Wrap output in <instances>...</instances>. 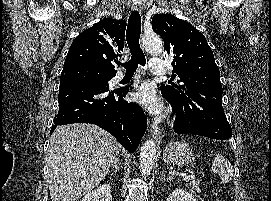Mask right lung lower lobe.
Instances as JSON below:
<instances>
[{"label": "right lung lower lobe", "instance_id": "1", "mask_svg": "<svg viewBox=\"0 0 271 201\" xmlns=\"http://www.w3.org/2000/svg\"><path fill=\"white\" fill-rule=\"evenodd\" d=\"M81 66L64 67L54 125L91 123L111 133L124 148L134 152L145 133L147 119L141 107L123 98L129 88L110 90L98 82L80 78L90 74Z\"/></svg>", "mask_w": 271, "mask_h": 201}]
</instances>
